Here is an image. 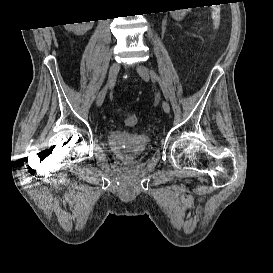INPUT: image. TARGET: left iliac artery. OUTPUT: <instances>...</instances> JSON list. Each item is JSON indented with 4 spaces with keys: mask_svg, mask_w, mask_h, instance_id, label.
Returning a JSON list of instances; mask_svg holds the SVG:
<instances>
[{
    "mask_svg": "<svg viewBox=\"0 0 273 273\" xmlns=\"http://www.w3.org/2000/svg\"><path fill=\"white\" fill-rule=\"evenodd\" d=\"M150 75H151V78L153 80H156L159 83L165 98L168 100V94H167V91L165 89V86L163 85V82L161 81L160 77L157 75V73L152 68H150Z\"/></svg>",
    "mask_w": 273,
    "mask_h": 273,
    "instance_id": "1",
    "label": "left iliac artery"
}]
</instances>
